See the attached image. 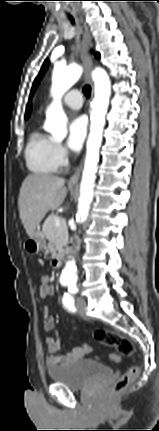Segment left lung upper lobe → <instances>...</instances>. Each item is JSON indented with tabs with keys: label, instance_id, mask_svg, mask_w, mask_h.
I'll list each match as a JSON object with an SVG mask.
<instances>
[{
	"label": "left lung upper lobe",
	"instance_id": "1",
	"mask_svg": "<svg viewBox=\"0 0 159 431\" xmlns=\"http://www.w3.org/2000/svg\"><path fill=\"white\" fill-rule=\"evenodd\" d=\"M95 57H96V58H100V54H99V53H96V54H95ZM48 64H49V63H48V60H46V61L44 62V64H43V66H42V68H41V70H40V72H39L38 76L36 77V79H35V81H34V84H33L32 91H31V96L33 95V93H34V91H35L36 86L38 85V83L40 82V80H41V78H42L43 74L45 73L46 69L48 68Z\"/></svg>",
	"mask_w": 159,
	"mask_h": 431
}]
</instances>
